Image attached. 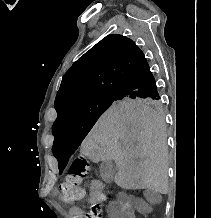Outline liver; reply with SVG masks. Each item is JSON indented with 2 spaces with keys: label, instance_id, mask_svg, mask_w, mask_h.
I'll use <instances>...</instances> for the list:
<instances>
[{
  "label": "liver",
  "instance_id": "liver-1",
  "mask_svg": "<svg viewBox=\"0 0 211 218\" xmlns=\"http://www.w3.org/2000/svg\"><path fill=\"white\" fill-rule=\"evenodd\" d=\"M81 154L114 160V182L124 190L150 188L167 194L166 132L153 110L113 104L82 142Z\"/></svg>",
  "mask_w": 211,
  "mask_h": 218
}]
</instances>
